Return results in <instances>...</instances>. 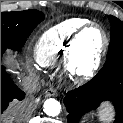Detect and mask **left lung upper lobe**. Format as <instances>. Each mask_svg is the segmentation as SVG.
Listing matches in <instances>:
<instances>
[{"instance_id":"5c2ea615","label":"left lung upper lobe","mask_w":123,"mask_h":123,"mask_svg":"<svg viewBox=\"0 0 123 123\" xmlns=\"http://www.w3.org/2000/svg\"><path fill=\"white\" fill-rule=\"evenodd\" d=\"M111 37L107 53V60L101 69L106 75H113L123 71V22L109 15Z\"/></svg>"}]
</instances>
